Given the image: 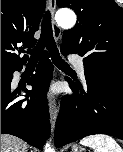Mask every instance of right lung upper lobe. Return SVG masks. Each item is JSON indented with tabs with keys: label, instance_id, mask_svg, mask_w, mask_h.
Listing matches in <instances>:
<instances>
[{
	"label": "right lung upper lobe",
	"instance_id": "1",
	"mask_svg": "<svg viewBox=\"0 0 123 152\" xmlns=\"http://www.w3.org/2000/svg\"><path fill=\"white\" fill-rule=\"evenodd\" d=\"M46 0H1V69L23 67L28 56L17 53L35 46L34 33Z\"/></svg>",
	"mask_w": 123,
	"mask_h": 152
}]
</instances>
